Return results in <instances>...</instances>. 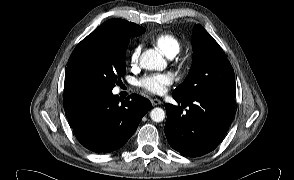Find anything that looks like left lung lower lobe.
Here are the masks:
<instances>
[{
    "mask_svg": "<svg viewBox=\"0 0 294 180\" xmlns=\"http://www.w3.org/2000/svg\"><path fill=\"white\" fill-rule=\"evenodd\" d=\"M172 96L189 109L183 113L180 106L165 104L167 120L164 132L170 146L190 157L214 150L229 129L235 112V99L221 95Z\"/></svg>",
    "mask_w": 294,
    "mask_h": 180,
    "instance_id": "left-lung-lower-lobe-1",
    "label": "left lung lower lobe"
}]
</instances>
